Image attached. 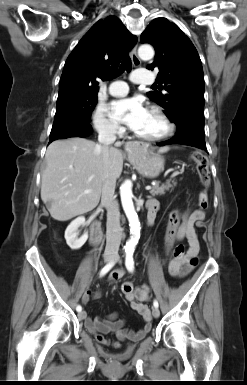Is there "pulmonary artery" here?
Segmentation results:
<instances>
[{
  "mask_svg": "<svg viewBox=\"0 0 247 385\" xmlns=\"http://www.w3.org/2000/svg\"><path fill=\"white\" fill-rule=\"evenodd\" d=\"M130 79L132 82L137 84H150L152 83V77L147 70L139 69L135 71ZM109 92L113 96H123L128 92V85L124 81H114L109 85Z\"/></svg>",
  "mask_w": 247,
  "mask_h": 385,
  "instance_id": "e3ab8cb5",
  "label": "pulmonary artery"
}]
</instances>
